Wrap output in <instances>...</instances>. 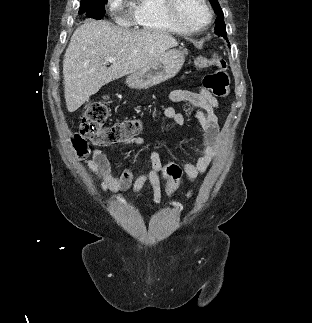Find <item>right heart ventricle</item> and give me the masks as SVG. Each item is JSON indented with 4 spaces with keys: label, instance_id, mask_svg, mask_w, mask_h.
Segmentation results:
<instances>
[{
    "label": "right heart ventricle",
    "instance_id": "1",
    "mask_svg": "<svg viewBox=\"0 0 312 323\" xmlns=\"http://www.w3.org/2000/svg\"><path fill=\"white\" fill-rule=\"evenodd\" d=\"M138 1L130 10L135 29H184V22H175L172 13H167V1Z\"/></svg>",
    "mask_w": 312,
    "mask_h": 323
}]
</instances>
